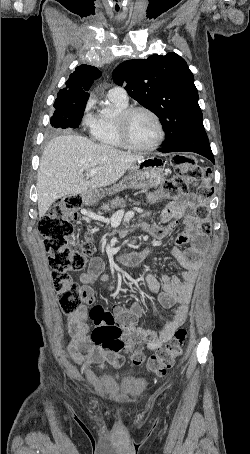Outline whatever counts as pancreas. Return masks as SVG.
Returning a JSON list of instances; mask_svg holds the SVG:
<instances>
[{
  "label": "pancreas",
  "instance_id": "cf45deb5",
  "mask_svg": "<svg viewBox=\"0 0 250 454\" xmlns=\"http://www.w3.org/2000/svg\"><path fill=\"white\" fill-rule=\"evenodd\" d=\"M123 202H124L123 199L116 197L114 200L104 203L102 209L105 212H108L116 208L117 206H120Z\"/></svg>",
  "mask_w": 250,
  "mask_h": 454
}]
</instances>
